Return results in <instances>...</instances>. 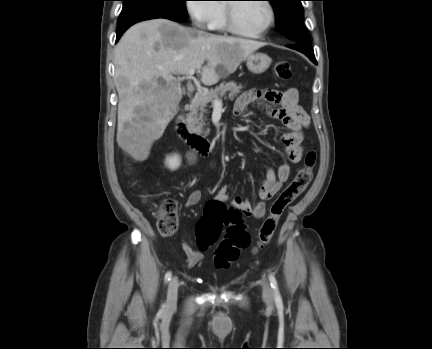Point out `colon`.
I'll return each mask as SVG.
<instances>
[{"instance_id":"1","label":"colon","mask_w":432,"mask_h":349,"mask_svg":"<svg viewBox=\"0 0 432 349\" xmlns=\"http://www.w3.org/2000/svg\"><path fill=\"white\" fill-rule=\"evenodd\" d=\"M273 72L278 79L284 81L289 80L292 76L291 66L284 60L275 63ZM316 157L314 150L306 153L303 166L271 205L258 231L257 242L253 249L255 253L271 241L285 209L309 186L313 178ZM155 207L160 233L165 236L174 234L179 226L176 201L165 199ZM240 215L241 212L236 207H227L224 203L213 200L207 204L204 216L197 223V243L201 250L213 245L218 240L223 227H226L225 235L218 243L214 253V264L217 268L230 266L239 257L240 251L250 242L249 234L240 223Z\"/></svg>"}]
</instances>
